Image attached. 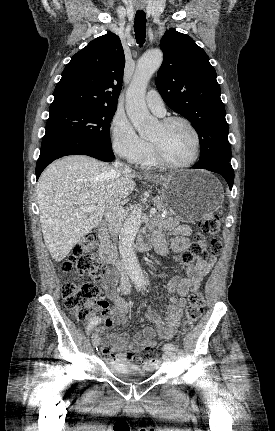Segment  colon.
<instances>
[{
  "label": "colon",
  "instance_id": "obj_1",
  "mask_svg": "<svg viewBox=\"0 0 275 431\" xmlns=\"http://www.w3.org/2000/svg\"><path fill=\"white\" fill-rule=\"evenodd\" d=\"M199 228L205 234L215 235L220 232V219L216 214L205 216L199 221ZM201 238L184 251L180 257L181 261L187 265H193L198 261L207 260L210 255H217L221 250V243L218 239L210 241L209 249L200 245ZM97 244L93 234L84 236L75 246L70 257L63 262L61 269L63 272L74 270L77 275H88L92 279L101 278L105 272V264L95 253ZM61 295L65 306L70 310L74 318L78 321H87L95 312L103 311L106 302L98 299V287L92 282L80 284L67 281L61 288ZM204 307L203 295L199 292L189 296L183 328L186 331L192 329L195 322L200 318ZM138 363L148 371L158 367L159 361L153 355V350L147 348L142 356H138Z\"/></svg>",
  "mask_w": 275,
  "mask_h": 431
}]
</instances>
